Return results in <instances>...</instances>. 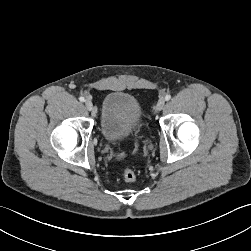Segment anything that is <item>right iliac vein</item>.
<instances>
[{"mask_svg":"<svg viewBox=\"0 0 251 251\" xmlns=\"http://www.w3.org/2000/svg\"><path fill=\"white\" fill-rule=\"evenodd\" d=\"M85 106H86L87 110L91 111L93 109V103H92V101L89 100V99H87L85 101Z\"/></svg>","mask_w":251,"mask_h":251,"instance_id":"63e3f726","label":"right iliac vein"}]
</instances>
